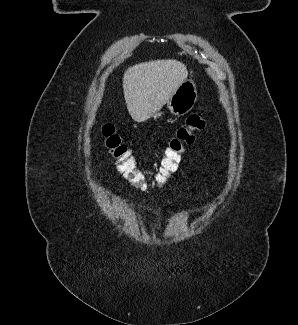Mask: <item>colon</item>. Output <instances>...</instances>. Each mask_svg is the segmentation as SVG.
Segmentation results:
<instances>
[{
    "instance_id": "obj_1",
    "label": "colon",
    "mask_w": 298,
    "mask_h": 325,
    "mask_svg": "<svg viewBox=\"0 0 298 325\" xmlns=\"http://www.w3.org/2000/svg\"><path fill=\"white\" fill-rule=\"evenodd\" d=\"M206 124V112L189 115L183 126L177 129L175 136L169 141L163 151L160 165L156 171L155 179L158 185H164L170 176L176 171L185 147L191 145L195 139V132L202 130ZM105 147L113 158L117 170L135 188L146 190L148 188L147 177L138 166L137 160L130 149L121 141L120 136L112 124L102 127Z\"/></svg>"
}]
</instances>
